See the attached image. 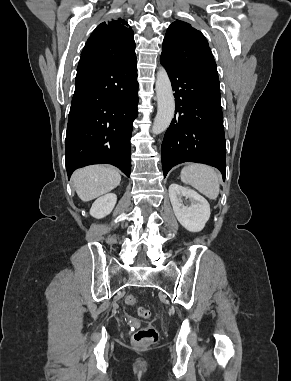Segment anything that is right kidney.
I'll return each instance as SVG.
<instances>
[{"mask_svg": "<svg viewBox=\"0 0 291 381\" xmlns=\"http://www.w3.org/2000/svg\"><path fill=\"white\" fill-rule=\"evenodd\" d=\"M117 196L113 193H108L99 197L90 209V215L94 218L101 219L109 215L115 207Z\"/></svg>", "mask_w": 291, "mask_h": 381, "instance_id": "1", "label": "right kidney"}]
</instances>
